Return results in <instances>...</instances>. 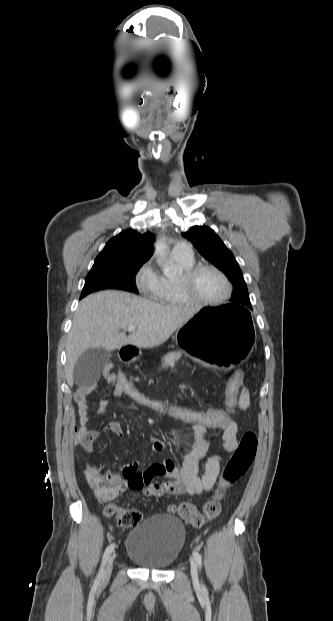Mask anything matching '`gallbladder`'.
<instances>
[{
	"instance_id": "bac80fb5",
	"label": "gallbladder",
	"mask_w": 333,
	"mask_h": 621,
	"mask_svg": "<svg viewBox=\"0 0 333 621\" xmlns=\"http://www.w3.org/2000/svg\"><path fill=\"white\" fill-rule=\"evenodd\" d=\"M110 357V352L103 348H91L84 352L74 366L73 378L75 384L87 386L98 382L102 370Z\"/></svg>"
}]
</instances>
